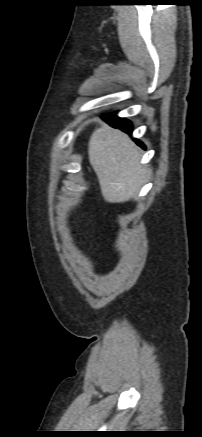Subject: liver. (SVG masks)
Here are the masks:
<instances>
[{
	"instance_id": "obj_1",
	"label": "liver",
	"mask_w": 202,
	"mask_h": 437,
	"mask_svg": "<svg viewBox=\"0 0 202 437\" xmlns=\"http://www.w3.org/2000/svg\"><path fill=\"white\" fill-rule=\"evenodd\" d=\"M88 154L107 202L123 203L137 196L147 169L140 165L141 152L128 135L104 123L92 133Z\"/></svg>"
}]
</instances>
